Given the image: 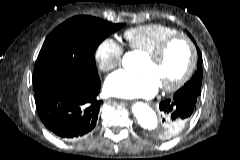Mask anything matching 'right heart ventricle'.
<instances>
[{"mask_svg": "<svg viewBox=\"0 0 240 160\" xmlns=\"http://www.w3.org/2000/svg\"><path fill=\"white\" fill-rule=\"evenodd\" d=\"M178 34V31L163 24H146L128 29L124 33L129 47L145 54L154 51L160 43L169 36Z\"/></svg>", "mask_w": 240, "mask_h": 160, "instance_id": "e07e8e85", "label": "right heart ventricle"}]
</instances>
